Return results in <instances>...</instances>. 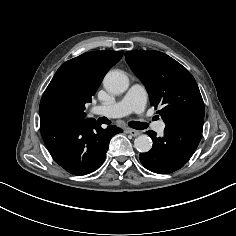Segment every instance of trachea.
<instances>
[{"label":"trachea","instance_id":"trachea-1","mask_svg":"<svg viewBox=\"0 0 236 236\" xmlns=\"http://www.w3.org/2000/svg\"><path fill=\"white\" fill-rule=\"evenodd\" d=\"M99 122L103 123V124H110L111 123V121L108 120L106 117L99 118ZM129 126L131 128H134V129L143 130V129H146L148 127V124L143 123V122L131 121V122H129Z\"/></svg>","mask_w":236,"mask_h":236}]
</instances>
